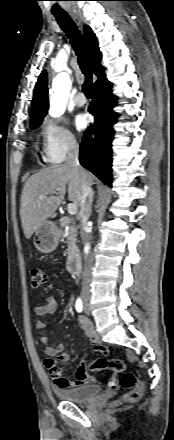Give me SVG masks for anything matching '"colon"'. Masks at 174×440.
Wrapping results in <instances>:
<instances>
[{
    "instance_id": "obj_1",
    "label": "colon",
    "mask_w": 174,
    "mask_h": 440,
    "mask_svg": "<svg viewBox=\"0 0 174 440\" xmlns=\"http://www.w3.org/2000/svg\"><path fill=\"white\" fill-rule=\"evenodd\" d=\"M30 281L34 288H38L45 282V275L39 268L30 270ZM93 367L99 370H111L115 374H119V382L115 378H110L107 384L111 388H115L118 384L126 389L123 400L126 402H136L142 396L144 390L143 382L132 372L126 370V364L121 359H98L93 363Z\"/></svg>"
}]
</instances>
